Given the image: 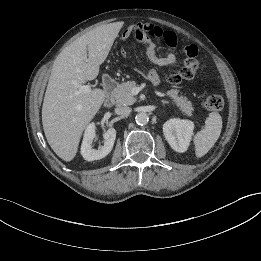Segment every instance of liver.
<instances>
[{
    "instance_id": "obj_1",
    "label": "liver",
    "mask_w": 261,
    "mask_h": 261,
    "mask_svg": "<svg viewBox=\"0 0 261 261\" xmlns=\"http://www.w3.org/2000/svg\"><path fill=\"white\" fill-rule=\"evenodd\" d=\"M117 23L91 30L73 41L55 59L42 106V124L53 151L64 161L77 153L82 133L106 99L102 89L78 93L94 80L120 30Z\"/></svg>"
}]
</instances>
